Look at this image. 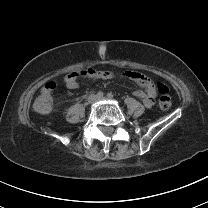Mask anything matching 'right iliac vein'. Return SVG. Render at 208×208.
Masks as SVG:
<instances>
[{"label": "right iliac vein", "instance_id": "63e3f726", "mask_svg": "<svg viewBox=\"0 0 208 208\" xmlns=\"http://www.w3.org/2000/svg\"><path fill=\"white\" fill-rule=\"evenodd\" d=\"M97 99H98V98H97L96 95L91 94V95L87 98V101H88L89 104H93L94 102L97 101Z\"/></svg>", "mask_w": 208, "mask_h": 208}]
</instances>
